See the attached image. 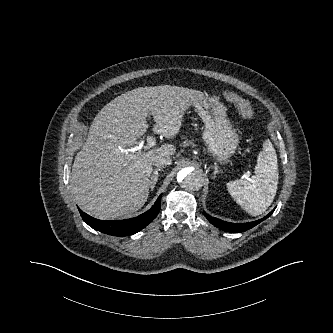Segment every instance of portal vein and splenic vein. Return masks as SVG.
<instances>
[{
	"label": "portal vein and splenic vein",
	"instance_id": "1",
	"mask_svg": "<svg viewBox=\"0 0 333 333\" xmlns=\"http://www.w3.org/2000/svg\"><path fill=\"white\" fill-rule=\"evenodd\" d=\"M147 143H148V146H143V144L141 143V144H139V146H136L134 148L125 149L124 152L128 153V152H131V151H141L143 148L144 149H148L149 147H152V146H154L156 144V140H155V138L153 136H149L147 138ZM246 175L249 176L250 173H247ZM250 180L253 182V179H250Z\"/></svg>",
	"mask_w": 333,
	"mask_h": 333
}]
</instances>
